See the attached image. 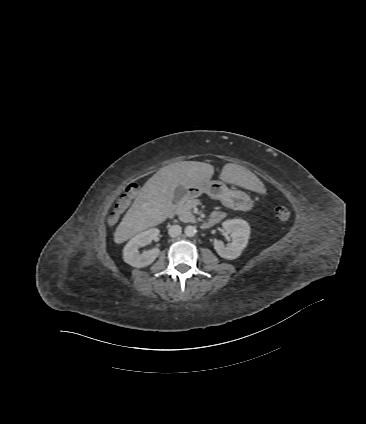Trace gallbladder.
<instances>
[{
	"label": "gallbladder",
	"mask_w": 366,
	"mask_h": 424,
	"mask_svg": "<svg viewBox=\"0 0 366 424\" xmlns=\"http://www.w3.org/2000/svg\"><path fill=\"white\" fill-rule=\"evenodd\" d=\"M185 190L182 186H177V188L175 189V201H178L180 199H182V197L184 196Z\"/></svg>",
	"instance_id": "gallbladder-1"
}]
</instances>
